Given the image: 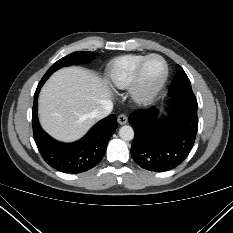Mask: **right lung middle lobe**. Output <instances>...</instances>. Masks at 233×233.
Here are the masks:
<instances>
[{
	"instance_id": "obj_1",
	"label": "right lung middle lobe",
	"mask_w": 233,
	"mask_h": 233,
	"mask_svg": "<svg viewBox=\"0 0 233 233\" xmlns=\"http://www.w3.org/2000/svg\"><path fill=\"white\" fill-rule=\"evenodd\" d=\"M96 55H97V53H95V52H74V53H71V54L61 58L57 62H55L48 69V71L45 73V75L43 76V78L41 79L40 82L44 83L53 72H55L56 70H58L62 67L89 62Z\"/></svg>"
}]
</instances>
